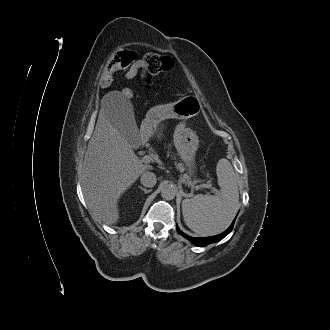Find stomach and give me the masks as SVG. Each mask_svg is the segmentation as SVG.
Wrapping results in <instances>:
<instances>
[{
    "instance_id": "stomach-1",
    "label": "stomach",
    "mask_w": 330,
    "mask_h": 330,
    "mask_svg": "<svg viewBox=\"0 0 330 330\" xmlns=\"http://www.w3.org/2000/svg\"><path fill=\"white\" fill-rule=\"evenodd\" d=\"M202 110L200 99L194 95H187L162 109L166 117L186 120L197 116ZM174 145L181 160L185 163L190 175L196 171L195 153L198 148V136L182 122L178 124L173 135Z\"/></svg>"
}]
</instances>
